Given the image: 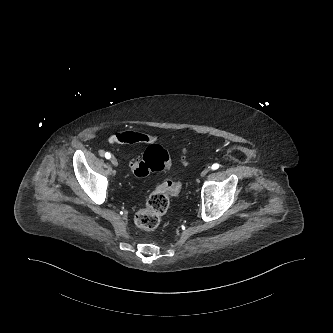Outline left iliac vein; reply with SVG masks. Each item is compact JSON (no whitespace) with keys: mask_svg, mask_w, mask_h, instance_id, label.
Listing matches in <instances>:
<instances>
[{"mask_svg":"<svg viewBox=\"0 0 333 333\" xmlns=\"http://www.w3.org/2000/svg\"><path fill=\"white\" fill-rule=\"evenodd\" d=\"M209 170H210L209 168L203 169L202 172H201V174H200V176L201 177H205L208 174Z\"/></svg>","mask_w":333,"mask_h":333,"instance_id":"obj_1","label":"left iliac vein"}]
</instances>
